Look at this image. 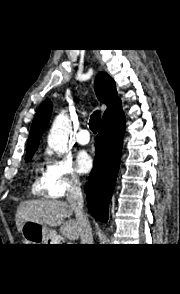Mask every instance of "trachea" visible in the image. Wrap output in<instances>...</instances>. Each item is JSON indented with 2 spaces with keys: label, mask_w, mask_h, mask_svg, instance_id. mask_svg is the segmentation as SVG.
I'll use <instances>...</instances> for the list:
<instances>
[{
  "label": "trachea",
  "mask_w": 180,
  "mask_h": 294,
  "mask_svg": "<svg viewBox=\"0 0 180 294\" xmlns=\"http://www.w3.org/2000/svg\"><path fill=\"white\" fill-rule=\"evenodd\" d=\"M101 120V115L98 110H96L90 117L89 127L93 131L94 134L97 133L98 126Z\"/></svg>",
  "instance_id": "obj_1"
}]
</instances>
